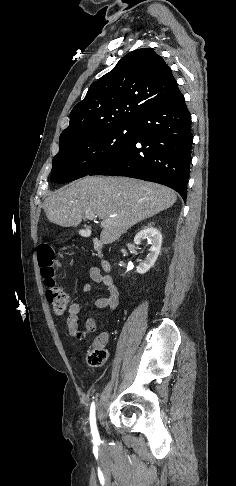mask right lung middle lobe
<instances>
[{"label":"right lung middle lobe","mask_w":236,"mask_h":486,"mask_svg":"<svg viewBox=\"0 0 236 486\" xmlns=\"http://www.w3.org/2000/svg\"><path fill=\"white\" fill-rule=\"evenodd\" d=\"M136 124H126L90 131L59 143L60 151L53 158L51 180L71 182L86 175L117 151L130 144Z\"/></svg>","instance_id":"1"}]
</instances>
